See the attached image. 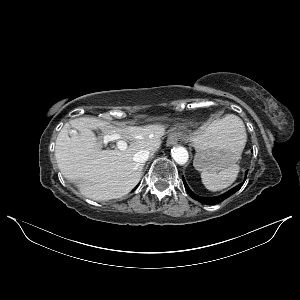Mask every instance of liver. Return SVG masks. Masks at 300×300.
Masks as SVG:
<instances>
[{
	"instance_id": "obj_1",
	"label": "liver",
	"mask_w": 300,
	"mask_h": 300,
	"mask_svg": "<svg viewBox=\"0 0 300 300\" xmlns=\"http://www.w3.org/2000/svg\"><path fill=\"white\" fill-rule=\"evenodd\" d=\"M70 125L78 133L69 136V124L59 132L55 146L58 168L83 196L99 201L120 198L138 184L144 165L133 160L135 153L142 149L155 153L165 133L161 124L116 127L87 117L71 120ZM92 129H100L105 137L119 135L130 145L124 150H102Z\"/></svg>"
}]
</instances>
